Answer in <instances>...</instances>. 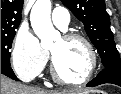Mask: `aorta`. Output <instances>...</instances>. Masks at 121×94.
<instances>
[{
  "mask_svg": "<svg viewBox=\"0 0 121 94\" xmlns=\"http://www.w3.org/2000/svg\"><path fill=\"white\" fill-rule=\"evenodd\" d=\"M51 0H36L30 14L31 26L41 40L42 48H49L60 37L54 29L51 18Z\"/></svg>",
  "mask_w": 121,
  "mask_h": 94,
  "instance_id": "aorta-1",
  "label": "aorta"
}]
</instances>
